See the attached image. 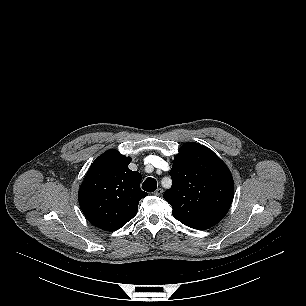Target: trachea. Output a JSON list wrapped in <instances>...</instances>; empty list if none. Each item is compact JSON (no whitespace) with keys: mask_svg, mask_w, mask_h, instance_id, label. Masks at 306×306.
Returning a JSON list of instances; mask_svg holds the SVG:
<instances>
[{"mask_svg":"<svg viewBox=\"0 0 306 306\" xmlns=\"http://www.w3.org/2000/svg\"><path fill=\"white\" fill-rule=\"evenodd\" d=\"M143 190L153 192L157 189V181L154 178H147L142 184Z\"/></svg>","mask_w":306,"mask_h":306,"instance_id":"obj_1","label":"trachea"}]
</instances>
